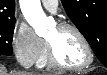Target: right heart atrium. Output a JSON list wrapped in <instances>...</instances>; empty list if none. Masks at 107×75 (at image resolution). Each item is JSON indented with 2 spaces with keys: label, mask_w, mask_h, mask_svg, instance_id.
I'll return each mask as SVG.
<instances>
[{
  "label": "right heart atrium",
  "mask_w": 107,
  "mask_h": 75,
  "mask_svg": "<svg viewBox=\"0 0 107 75\" xmlns=\"http://www.w3.org/2000/svg\"><path fill=\"white\" fill-rule=\"evenodd\" d=\"M11 43L17 60L25 67L37 64L45 49V42L22 21L16 22Z\"/></svg>",
  "instance_id": "obj_1"
}]
</instances>
